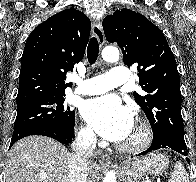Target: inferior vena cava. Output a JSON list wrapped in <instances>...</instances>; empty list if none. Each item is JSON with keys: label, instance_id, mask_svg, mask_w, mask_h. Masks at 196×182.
Returning a JSON list of instances; mask_svg holds the SVG:
<instances>
[{"label": "inferior vena cava", "instance_id": "602c4592", "mask_svg": "<svg viewBox=\"0 0 196 182\" xmlns=\"http://www.w3.org/2000/svg\"><path fill=\"white\" fill-rule=\"evenodd\" d=\"M95 146L96 135L93 131L79 134L72 142L74 153L69 163V182H87L88 160L92 157Z\"/></svg>", "mask_w": 196, "mask_h": 182}]
</instances>
